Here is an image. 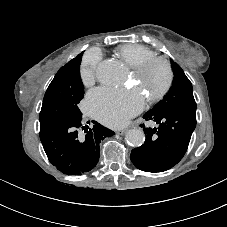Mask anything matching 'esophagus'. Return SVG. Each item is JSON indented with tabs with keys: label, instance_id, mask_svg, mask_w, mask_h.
I'll return each mask as SVG.
<instances>
[{
	"label": "esophagus",
	"instance_id": "obj_1",
	"mask_svg": "<svg viewBox=\"0 0 227 227\" xmlns=\"http://www.w3.org/2000/svg\"><path fill=\"white\" fill-rule=\"evenodd\" d=\"M127 129H120V130H117L116 133L118 135H124L126 133Z\"/></svg>",
	"mask_w": 227,
	"mask_h": 227
}]
</instances>
